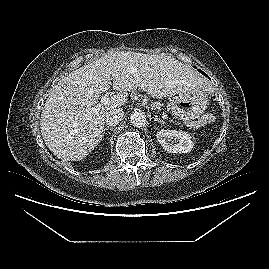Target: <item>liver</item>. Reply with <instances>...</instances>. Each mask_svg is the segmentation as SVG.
Masks as SVG:
<instances>
[{
    "label": "liver",
    "mask_w": 269,
    "mask_h": 269,
    "mask_svg": "<svg viewBox=\"0 0 269 269\" xmlns=\"http://www.w3.org/2000/svg\"><path fill=\"white\" fill-rule=\"evenodd\" d=\"M112 84L120 93L88 111ZM137 88L154 98L206 90L205 80L173 57L124 51L105 55L71 72L50 93L40 119L46 146L63 161L82 160L102 139L106 113L124 106L128 92Z\"/></svg>",
    "instance_id": "6515ba94"
}]
</instances>
